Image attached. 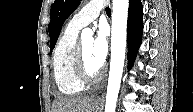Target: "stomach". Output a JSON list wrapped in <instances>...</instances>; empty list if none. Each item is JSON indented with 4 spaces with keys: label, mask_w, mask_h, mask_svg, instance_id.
I'll list each match as a JSON object with an SVG mask.
<instances>
[{
    "label": "stomach",
    "mask_w": 193,
    "mask_h": 112,
    "mask_svg": "<svg viewBox=\"0 0 193 112\" xmlns=\"http://www.w3.org/2000/svg\"><path fill=\"white\" fill-rule=\"evenodd\" d=\"M99 111V104L96 102H93V112H98Z\"/></svg>",
    "instance_id": "0dacf381"
}]
</instances>
